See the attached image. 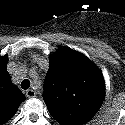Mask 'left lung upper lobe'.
Returning a JSON list of instances; mask_svg holds the SVG:
<instances>
[{"label": "left lung upper lobe", "mask_w": 125, "mask_h": 125, "mask_svg": "<svg viewBox=\"0 0 125 125\" xmlns=\"http://www.w3.org/2000/svg\"><path fill=\"white\" fill-rule=\"evenodd\" d=\"M43 90L48 111L60 125H81L100 108L105 83L86 56L61 50L50 60Z\"/></svg>", "instance_id": "obj_1"}]
</instances>
